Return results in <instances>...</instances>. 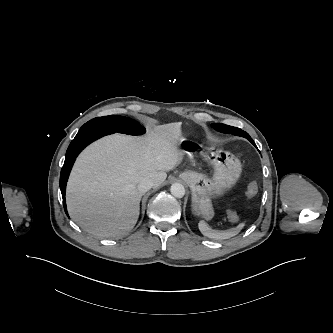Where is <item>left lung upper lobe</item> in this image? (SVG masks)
<instances>
[{"mask_svg": "<svg viewBox=\"0 0 333 333\" xmlns=\"http://www.w3.org/2000/svg\"><path fill=\"white\" fill-rule=\"evenodd\" d=\"M212 126L215 130L222 132V133H231L234 135L243 136L245 138H246V136H249L248 133L244 132L243 130L236 128V127L228 126L225 124L215 123Z\"/></svg>", "mask_w": 333, "mask_h": 333, "instance_id": "5c2ea615", "label": "left lung upper lobe"}]
</instances>
